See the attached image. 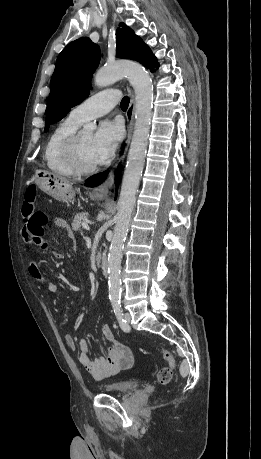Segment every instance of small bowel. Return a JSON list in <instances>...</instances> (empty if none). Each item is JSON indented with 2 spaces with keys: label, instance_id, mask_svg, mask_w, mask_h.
I'll return each instance as SVG.
<instances>
[{
  "label": "small bowel",
  "instance_id": "obj_1",
  "mask_svg": "<svg viewBox=\"0 0 261 459\" xmlns=\"http://www.w3.org/2000/svg\"><path fill=\"white\" fill-rule=\"evenodd\" d=\"M54 224L65 231H69V227L63 218H55ZM43 235L44 233L35 234L34 238H23L26 243L38 245L46 250L49 248V243L44 239ZM29 273L48 293L52 294L57 291V285L45 278L36 262L30 264ZM102 332L108 345L106 347V354L96 359L91 358L90 350L85 339H80L76 342L70 334L65 335V342L69 349L76 350L77 347L79 348V362L81 365L84 366L95 379L99 380L117 374L122 370L130 369L133 364V356L130 349L116 338L112 327L109 324H105L102 327Z\"/></svg>",
  "mask_w": 261,
  "mask_h": 459
}]
</instances>
